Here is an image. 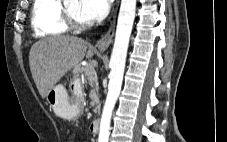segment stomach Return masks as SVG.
<instances>
[{
	"mask_svg": "<svg viewBox=\"0 0 227 142\" xmlns=\"http://www.w3.org/2000/svg\"><path fill=\"white\" fill-rule=\"evenodd\" d=\"M46 100L56 115L63 119L72 120L81 112V103L72 102L66 88L61 84L49 90Z\"/></svg>",
	"mask_w": 227,
	"mask_h": 142,
	"instance_id": "1",
	"label": "stomach"
}]
</instances>
